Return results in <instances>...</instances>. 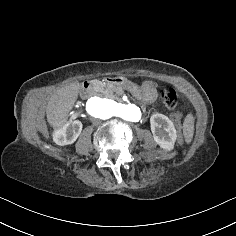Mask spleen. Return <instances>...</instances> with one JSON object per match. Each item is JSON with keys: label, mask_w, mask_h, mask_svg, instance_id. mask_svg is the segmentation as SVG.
Masks as SVG:
<instances>
[{"label": "spleen", "mask_w": 236, "mask_h": 236, "mask_svg": "<svg viewBox=\"0 0 236 236\" xmlns=\"http://www.w3.org/2000/svg\"><path fill=\"white\" fill-rule=\"evenodd\" d=\"M193 132H194V118L192 114H188L184 121V129L183 134L185 137V141L187 143H190L193 138Z\"/></svg>", "instance_id": "1"}]
</instances>
